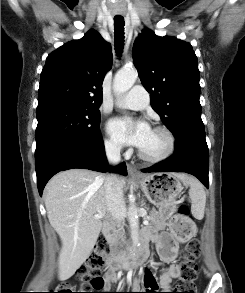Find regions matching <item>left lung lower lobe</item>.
Listing matches in <instances>:
<instances>
[{"label":"left lung lower lobe","instance_id":"obj_1","mask_svg":"<svg viewBox=\"0 0 245 293\" xmlns=\"http://www.w3.org/2000/svg\"><path fill=\"white\" fill-rule=\"evenodd\" d=\"M175 138L174 154L168 159L142 171L186 172L196 176L208 188L209 154L205 136L182 134Z\"/></svg>","mask_w":245,"mask_h":293}]
</instances>
